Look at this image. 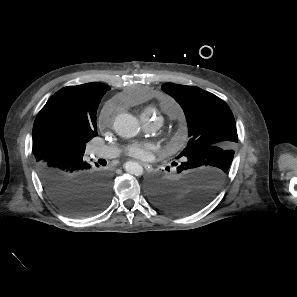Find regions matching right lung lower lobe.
Instances as JSON below:
<instances>
[{
	"mask_svg": "<svg viewBox=\"0 0 297 297\" xmlns=\"http://www.w3.org/2000/svg\"><path fill=\"white\" fill-rule=\"evenodd\" d=\"M86 162L83 154H53L37 165L50 199L72 216L94 214L107 204L110 179L106 171Z\"/></svg>",
	"mask_w": 297,
	"mask_h": 297,
	"instance_id": "right-lung-lower-lobe-1",
	"label": "right lung lower lobe"
}]
</instances>
